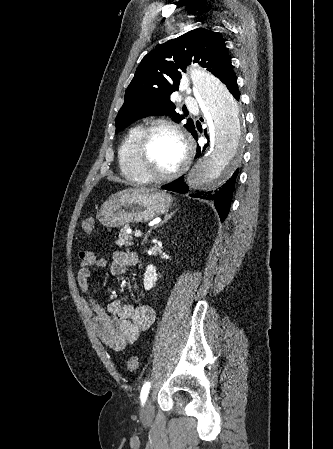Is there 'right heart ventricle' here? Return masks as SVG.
Listing matches in <instances>:
<instances>
[{"instance_id": "obj_1", "label": "right heart ventricle", "mask_w": 333, "mask_h": 449, "mask_svg": "<svg viewBox=\"0 0 333 449\" xmlns=\"http://www.w3.org/2000/svg\"><path fill=\"white\" fill-rule=\"evenodd\" d=\"M143 129L144 126L142 124L132 126L126 133L118 149L119 166L123 176L139 183L149 182L139 173L135 159L136 143Z\"/></svg>"}]
</instances>
